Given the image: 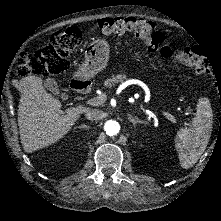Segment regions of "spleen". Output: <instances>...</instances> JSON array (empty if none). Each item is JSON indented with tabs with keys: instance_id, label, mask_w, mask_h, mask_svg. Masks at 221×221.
<instances>
[{
	"instance_id": "1",
	"label": "spleen",
	"mask_w": 221,
	"mask_h": 221,
	"mask_svg": "<svg viewBox=\"0 0 221 221\" xmlns=\"http://www.w3.org/2000/svg\"><path fill=\"white\" fill-rule=\"evenodd\" d=\"M212 110L207 98L197 103V112L188 128H180L176 146L183 168L192 167L205 151L212 133Z\"/></svg>"
}]
</instances>
